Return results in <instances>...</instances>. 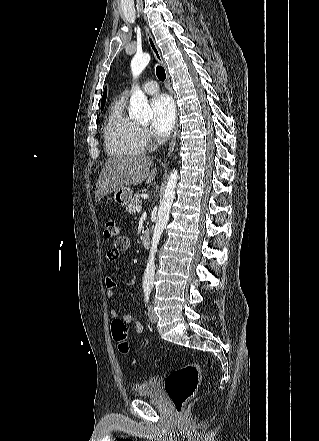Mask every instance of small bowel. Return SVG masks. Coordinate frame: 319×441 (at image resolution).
I'll use <instances>...</instances> for the list:
<instances>
[{
    "instance_id": "c3829d8e",
    "label": "small bowel",
    "mask_w": 319,
    "mask_h": 441,
    "mask_svg": "<svg viewBox=\"0 0 319 441\" xmlns=\"http://www.w3.org/2000/svg\"><path fill=\"white\" fill-rule=\"evenodd\" d=\"M129 247V240L126 237H121L116 243H115V247L110 249L107 252V259L110 262H115L118 260L120 254L124 251H126ZM105 285H106V295L108 298H113L115 295L114 289L116 287V282L115 280L110 277L107 276L105 278ZM110 317L112 319H116L118 318V311L116 309H111L110 310ZM122 320L125 323H130L133 324L134 327V331L136 333H142L143 332V325L141 324V322H139L138 320H136L134 318V316L130 315V314H126L122 317Z\"/></svg>"
}]
</instances>
